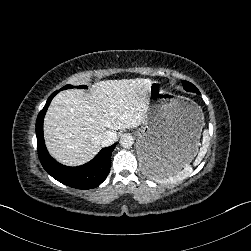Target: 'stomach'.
Listing matches in <instances>:
<instances>
[{
    "label": "stomach",
    "mask_w": 251,
    "mask_h": 251,
    "mask_svg": "<svg viewBox=\"0 0 251 251\" xmlns=\"http://www.w3.org/2000/svg\"><path fill=\"white\" fill-rule=\"evenodd\" d=\"M148 101L146 120L136 132V150L143 171L163 178L181 170L198 153L204 113L160 80L152 81Z\"/></svg>",
    "instance_id": "0dacf381"
}]
</instances>
